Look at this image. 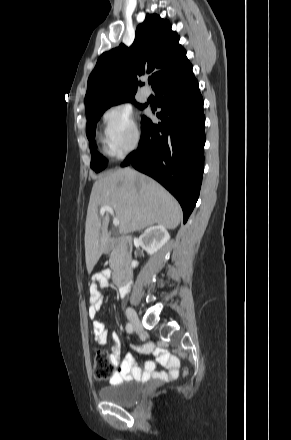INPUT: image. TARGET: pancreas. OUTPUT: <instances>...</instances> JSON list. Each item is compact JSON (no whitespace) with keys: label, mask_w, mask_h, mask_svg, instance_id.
Instances as JSON below:
<instances>
[{"label":"pancreas","mask_w":291,"mask_h":440,"mask_svg":"<svg viewBox=\"0 0 291 440\" xmlns=\"http://www.w3.org/2000/svg\"><path fill=\"white\" fill-rule=\"evenodd\" d=\"M108 251L110 252V266L115 267L121 257L123 247L120 243L110 242Z\"/></svg>","instance_id":"obj_1"}]
</instances>
